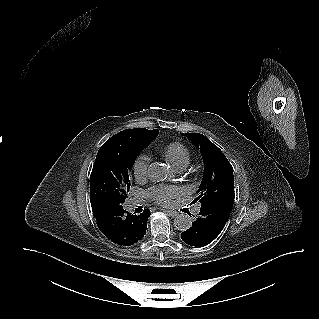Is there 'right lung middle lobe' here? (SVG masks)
I'll return each instance as SVG.
<instances>
[{"label": "right lung middle lobe", "instance_id": "right-lung-middle-lobe-1", "mask_svg": "<svg viewBox=\"0 0 319 319\" xmlns=\"http://www.w3.org/2000/svg\"><path fill=\"white\" fill-rule=\"evenodd\" d=\"M145 147L118 133L100 147L90 176L92 209L124 203L130 188V172Z\"/></svg>", "mask_w": 319, "mask_h": 319}]
</instances>
